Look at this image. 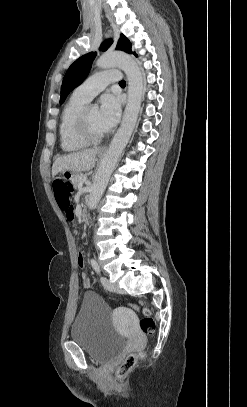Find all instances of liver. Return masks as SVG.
<instances>
[{
    "label": "liver",
    "instance_id": "6515ba94",
    "mask_svg": "<svg viewBox=\"0 0 247 407\" xmlns=\"http://www.w3.org/2000/svg\"><path fill=\"white\" fill-rule=\"evenodd\" d=\"M98 151V148L86 149L56 158L52 166V177L62 171L79 173L91 170L95 165Z\"/></svg>",
    "mask_w": 247,
    "mask_h": 407
}]
</instances>
